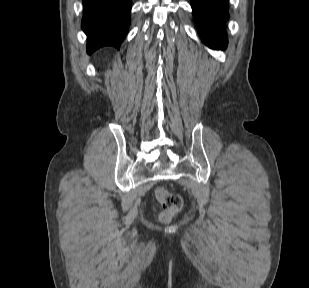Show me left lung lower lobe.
Listing matches in <instances>:
<instances>
[{
	"label": "left lung lower lobe",
	"instance_id": "1",
	"mask_svg": "<svg viewBox=\"0 0 309 288\" xmlns=\"http://www.w3.org/2000/svg\"><path fill=\"white\" fill-rule=\"evenodd\" d=\"M195 22L203 42L209 47L227 46L224 22L228 18V0H190Z\"/></svg>",
	"mask_w": 309,
	"mask_h": 288
}]
</instances>
